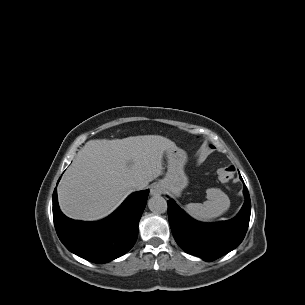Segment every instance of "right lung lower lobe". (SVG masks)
I'll return each mask as SVG.
<instances>
[{
    "label": "right lung lower lobe",
    "instance_id": "98d812e1",
    "mask_svg": "<svg viewBox=\"0 0 305 305\" xmlns=\"http://www.w3.org/2000/svg\"><path fill=\"white\" fill-rule=\"evenodd\" d=\"M149 190L131 194L107 218L98 222L75 221L59 209L53 193V219L59 239L72 253L94 263H106L128 252L138 236V224Z\"/></svg>",
    "mask_w": 305,
    "mask_h": 305
}]
</instances>
